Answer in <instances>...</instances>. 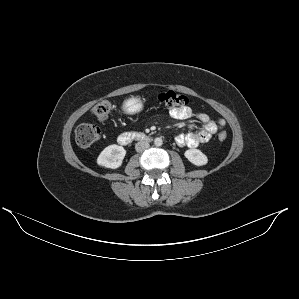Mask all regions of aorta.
Returning a JSON list of instances; mask_svg holds the SVG:
<instances>
[{
    "label": "aorta",
    "mask_w": 299,
    "mask_h": 299,
    "mask_svg": "<svg viewBox=\"0 0 299 299\" xmlns=\"http://www.w3.org/2000/svg\"><path fill=\"white\" fill-rule=\"evenodd\" d=\"M155 146H161L163 144V140L160 137L154 139Z\"/></svg>",
    "instance_id": "aorta-1"
}]
</instances>
